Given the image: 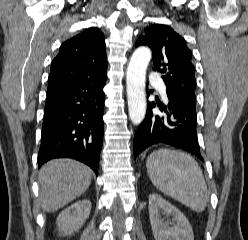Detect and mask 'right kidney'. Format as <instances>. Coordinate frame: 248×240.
Here are the masks:
<instances>
[{
	"label": "right kidney",
	"mask_w": 248,
	"mask_h": 240,
	"mask_svg": "<svg viewBox=\"0 0 248 240\" xmlns=\"http://www.w3.org/2000/svg\"><path fill=\"white\" fill-rule=\"evenodd\" d=\"M91 211L90 200L83 199L64 209L57 217L58 231L63 236H68L78 231L89 217Z\"/></svg>",
	"instance_id": "ca27d5eb"
}]
</instances>
